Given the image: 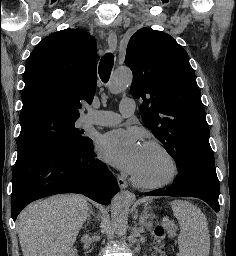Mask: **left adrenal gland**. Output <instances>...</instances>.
I'll return each instance as SVG.
<instances>
[{
    "instance_id": "left-adrenal-gland-1",
    "label": "left adrenal gland",
    "mask_w": 236,
    "mask_h": 256,
    "mask_svg": "<svg viewBox=\"0 0 236 256\" xmlns=\"http://www.w3.org/2000/svg\"><path fill=\"white\" fill-rule=\"evenodd\" d=\"M155 216L154 214H148V208H144L140 218H139V224L141 226V228H148L149 230V224H151V222H148V220H154Z\"/></svg>"
}]
</instances>
